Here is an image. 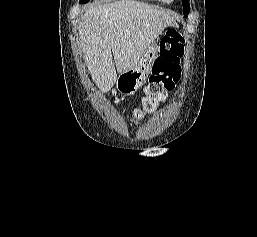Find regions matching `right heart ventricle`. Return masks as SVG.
<instances>
[{
  "label": "right heart ventricle",
  "instance_id": "right-heart-ventricle-1",
  "mask_svg": "<svg viewBox=\"0 0 257 237\" xmlns=\"http://www.w3.org/2000/svg\"><path fill=\"white\" fill-rule=\"evenodd\" d=\"M154 1L165 2V0H154Z\"/></svg>",
  "mask_w": 257,
  "mask_h": 237
}]
</instances>
